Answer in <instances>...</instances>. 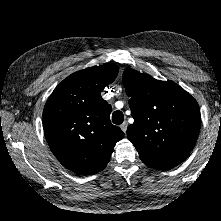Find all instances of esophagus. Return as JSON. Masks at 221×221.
Returning a JSON list of instances; mask_svg holds the SVG:
<instances>
[{"label": "esophagus", "instance_id": "esophagus-1", "mask_svg": "<svg viewBox=\"0 0 221 221\" xmlns=\"http://www.w3.org/2000/svg\"><path fill=\"white\" fill-rule=\"evenodd\" d=\"M127 127H128V122L124 121L121 125V129L124 133H126Z\"/></svg>", "mask_w": 221, "mask_h": 221}]
</instances>
